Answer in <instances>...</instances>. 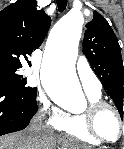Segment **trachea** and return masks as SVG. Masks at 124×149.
Instances as JSON below:
<instances>
[{"label": "trachea", "mask_w": 124, "mask_h": 149, "mask_svg": "<svg viewBox=\"0 0 124 149\" xmlns=\"http://www.w3.org/2000/svg\"><path fill=\"white\" fill-rule=\"evenodd\" d=\"M56 2L59 12H62L66 9L67 0H57Z\"/></svg>", "instance_id": "1"}]
</instances>
